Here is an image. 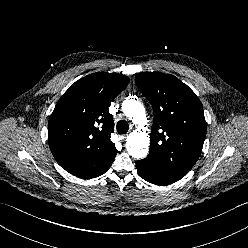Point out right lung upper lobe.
Returning <instances> with one entry per match:
<instances>
[{
	"mask_svg": "<svg viewBox=\"0 0 248 248\" xmlns=\"http://www.w3.org/2000/svg\"><path fill=\"white\" fill-rule=\"evenodd\" d=\"M128 82L122 74L97 72L76 81L60 98L49 119L48 141L66 171L91 179L111 165L118 151L110 140L109 106Z\"/></svg>",
	"mask_w": 248,
	"mask_h": 248,
	"instance_id": "right-lung-upper-lobe-1",
	"label": "right lung upper lobe"
}]
</instances>
